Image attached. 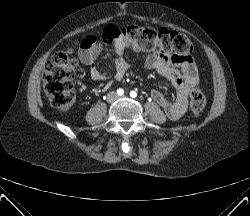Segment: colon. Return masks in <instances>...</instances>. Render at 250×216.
Masks as SVG:
<instances>
[{
  "mask_svg": "<svg viewBox=\"0 0 250 216\" xmlns=\"http://www.w3.org/2000/svg\"><path fill=\"white\" fill-rule=\"evenodd\" d=\"M124 40L131 45L146 51L159 54H172L189 57L192 52L190 40L183 34L167 29L155 30L149 27L131 25L125 28L109 26L104 29L99 39L93 43H115ZM83 40L81 46L89 45ZM78 60L73 49L55 54L47 63L43 74V88L51 105L59 110L70 108L75 102L73 76ZM206 106L204 93L196 88L190 95V109L198 117Z\"/></svg>",
  "mask_w": 250,
  "mask_h": 216,
  "instance_id": "5ec220e1",
  "label": "colon"
}]
</instances>
